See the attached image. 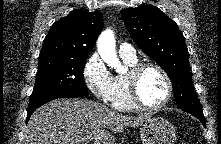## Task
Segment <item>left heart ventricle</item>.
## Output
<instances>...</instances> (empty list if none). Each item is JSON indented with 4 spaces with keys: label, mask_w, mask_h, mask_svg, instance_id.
<instances>
[{
    "label": "left heart ventricle",
    "mask_w": 221,
    "mask_h": 144,
    "mask_svg": "<svg viewBox=\"0 0 221 144\" xmlns=\"http://www.w3.org/2000/svg\"><path fill=\"white\" fill-rule=\"evenodd\" d=\"M138 91L141 100L149 106L161 103L166 96V82L159 71L150 68L143 72L139 79Z\"/></svg>",
    "instance_id": "left-heart-ventricle-1"
}]
</instances>
